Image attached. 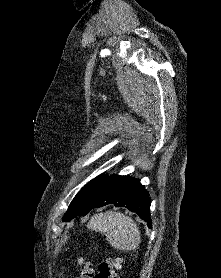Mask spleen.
Listing matches in <instances>:
<instances>
[{"label": "spleen", "mask_w": 221, "mask_h": 278, "mask_svg": "<svg viewBox=\"0 0 221 278\" xmlns=\"http://www.w3.org/2000/svg\"><path fill=\"white\" fill-rule=\"evenodd\" d=\"M87 227L105 234L109 244L118 250H133L141 241L137 224L120 212L106 211L96 214L91 218Z\"/></svg>", "instance_id": "spleen-1"}]
</instances>
